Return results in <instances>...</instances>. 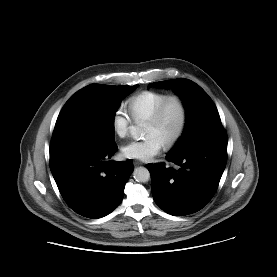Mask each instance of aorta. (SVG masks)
Listing matches in <instances>:
<instances>
[{
	"label": "aorta",
	"mask_w": 277,
	"mask_h": 277,
	"mask_svg": "<svg viewBox=\"0 0 277 277\" xmlns=\"http://www.w3.org/2000/svg\"><path fill=\"white\" fill-rule=\"evenodd\" d=\"M130 133L133 138L138 139L143 135V130L140 126H131ZM133 177L137 182H148L150 173L145 167H137L133 171Z\"/></svg>",
	"instance_id": "762f6f07"
}]
</instances>
